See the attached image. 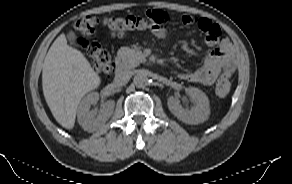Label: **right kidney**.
I'll return each mask as SVG.
<instances>
[{"label": "right kidney", "mask_w": 292, "mask_h": 184, "mask_svg": "<svg viewBox=\"0 0 292 184\" xmlns=\"http://www.w3.org/2000/svg\"><path fill=\"white\" fill-rule=\"evenodd\" d=\"M98 100L99 94L91 92L82 99L77 110L78 122L88 132L96 131L111 117L114 111L115 102L112 100L105 102L100 110H90L91 105L96 104Z\"/></svg>", "instance_id": "right-kidney-1"}]
</instances>
